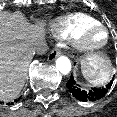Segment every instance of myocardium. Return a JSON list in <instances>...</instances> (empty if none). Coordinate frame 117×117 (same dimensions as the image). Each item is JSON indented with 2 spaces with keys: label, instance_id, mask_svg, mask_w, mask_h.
Returning a JSON list of instances; mask_svg holds the SVG:
<instances>
[{
  "label": "myocardium",
  "instance_id": "1",
  "mask_svg": "<svg viewBox=\"0 0 117 117\" xmlns=\"http://www.w3.org/2000/svg\"><path fill=\"white\" fill-rule=\"evenodd\" d=\"M95 31L103 32L104 38L101 42L93 43L89 40V36ZM109 38V31L104 25L100 23L93 24L83 29L74 38V47L80 53L93 52L105 47L109 41Z\"/></svg>",
  "mask_w": 117,
  "mask_h": 117
}]
</instances>
